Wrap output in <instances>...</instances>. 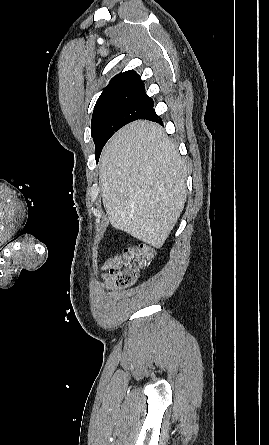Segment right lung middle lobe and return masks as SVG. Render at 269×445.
Instances as JSON below:
<instances>
[{
  "label": "right lung middle lobe",
  "mask_w": 269,
  "mask_h": 445,
  "mask_svg": "<svg viewBox=\"0 0 269 445\" xmlns=\"http://www.w3.org/2000/svg\"><path fill=\"white\" fill-rule=\"evenodd\" d=\"M152 104L144 88L118 90L98 98L91 121L96 161L114 132L139 119Z\"/></svg>",
  "instance_id": "obj_1"
}]
</instances>
